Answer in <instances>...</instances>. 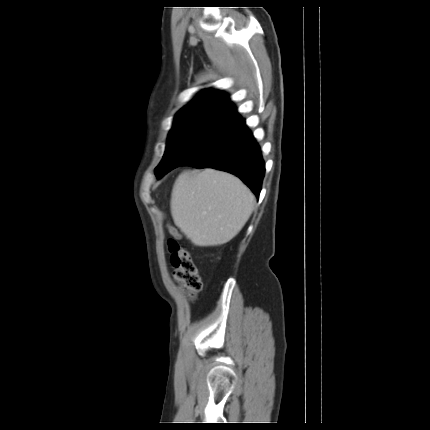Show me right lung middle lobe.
<instances>
[{"mask_svg":"<svg viewBox=\"0 0 430 430\" xmlns=\"http://www.w3.org/2000/svg\"><path fill=\"white\" fill-rule=\"evenodd\" d=\"M241 118L228 106L182 109L170 131L166 152L155 168L159 179L182 165L233 129Z\"/></svg>","mask_w":430,"mask_h":430,"instance_id":"obj_1","label":"right lung middle lobe"}]
</instances>
